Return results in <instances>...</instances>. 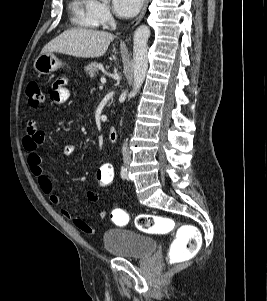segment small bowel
Listing matches in <instances>:
<instances>
[{
	"instance_id": "small-bowel-1",
	"label": "small bowel",
	"mask_w": 267,
	"mask_h": 301,
	"mask_svg": "<svg viewBox=\"0 0 267 301\" xmlns=\"http://www.w3.org/2000/svg\"><path fill=\"white\" fill-rule=\"evenodd\" d=\"M70 97V91L67 87V79L65 77L58 78L52 85V91L50 93V100L53 104H64ZM44 140L43 133L38 129L37 123L34 119L27 122L26 133L22 139V146L27 152V162L31 173L37 178L38 185L42 192L46 194L50 201L58 205L61 203L60 196L56 193L54 184L50 177L44 172L42 167V158L38 152L40 144ZM76 146L74 144H68L64 146L63 154L71 156L74 154ZM87 200L90 202H96L99 199V195L96 191L87 192ZM62 215L65 217H71L70 212L67 209L61 210ZM98 217L103 219L106 216L105 211H100ZM75 225L82 232L87 234H95L96 230L82 219H75Z\"/></svg>"
}]
</instances>
